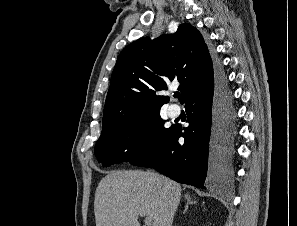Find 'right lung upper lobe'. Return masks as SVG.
Masks as SVG:
<instances>
[{"instance_id":"1","label":"right lung upper lobe","mask_w":297,"mask_h":226,"mask_svg":"<svg viewBox=\"0 0 297 226\" xmlns=\"http://www.w3.org/2000/svg\"><path fill=\"white\" fill-rule=\"evenodd\" d=\"M214 69L202 35L190 24L179 25L175 34L138 39L118 56L102 125L160 110L169 98L158 92L167 90V83L175 79L180 82L184 103L212 85Z\"/></svg>"}]
</instances>
